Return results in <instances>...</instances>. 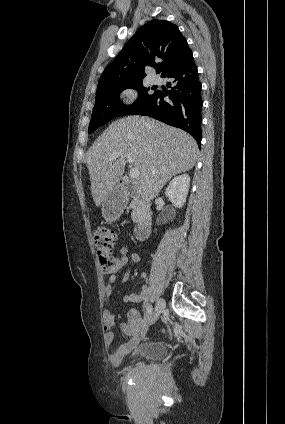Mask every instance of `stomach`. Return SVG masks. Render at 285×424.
Masks as SVG:
<instances>
[{
    "label": "stomach",
    "mask_w": 285,
    "mask_h": 424,
    "mask_svg": "<svg viewBox=\"0 0 285 424\" xmlns=\"http://www.w3.org/2000/svg\"><path fill=\"white\" fill-rule=\"evenodd\" d=\"M125 206V200L122 195L115 190L111 191L105 201L102 203V215L106 221H115Z\"/></svg>",
    "instance_id": "0dacf381"
}]
</instances>
